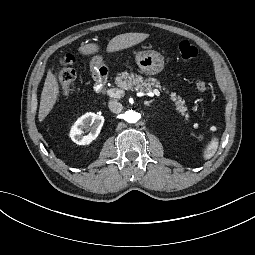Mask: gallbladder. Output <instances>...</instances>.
<instances>
[{
    "label": "gallbladder",
    "instance_id": "obj_1",
    "mask_svg": "<svg viewBox=\"0 0 255 255\" xmlns=\"http://www.w3.org/2000/svg\"><path fill=\"white\" fill-rule=\"evenodd\" d=\"M60 63H61L62 65H66V62H65L64 60H62V59H60Z\"/></svg>",
    "mask_w": 255,
    "mask_h": 255
}]
</instances>
